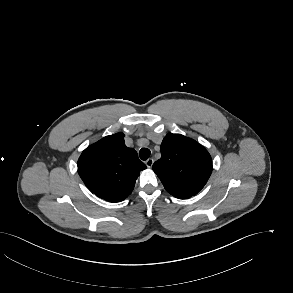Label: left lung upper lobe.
<instances>
[{"mask_svg": "<svg viewBox=\"0 0 293 293\" xmlns=\"http://www.w3.org/2000/svg\"><path fill=\"white\" fill-rule=\"evenodd\" d=\"M153 170L171 195L187 199L207 183L212 159L195 140L169 133L162 141L161 158L153 164Z\"/></svg>", "mask_w": 293, "mask_h": 293, "instance_id": "obj_1", "label": "left lung upper lobe"}]
</instances>
